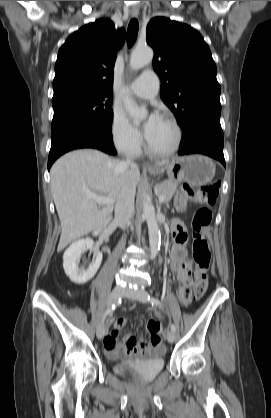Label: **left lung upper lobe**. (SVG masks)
Segmentation results:
<instances>
[{
  "mask_svg": "<svg viewBox=\"0 0 271 418\" xmlns=\"http://www.w3.org/2000/svg\"><path fill=\"white\" fill-rule=\"evenodd\" d=\"M161 98L183 131L199 120H220V85L210 49L200 33L183 23L155 17L147 26Z\"/></svg>",
  "mask_w": 271,
  "mask_h": 418,
  "instance_id": "obj_1",
  "label": "left lung upper lobe"
}]
</instances>
